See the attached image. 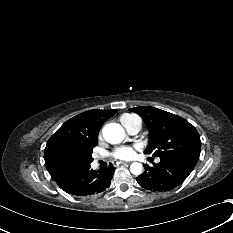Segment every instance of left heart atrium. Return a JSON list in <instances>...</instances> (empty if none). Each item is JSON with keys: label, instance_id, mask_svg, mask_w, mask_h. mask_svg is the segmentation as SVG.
<instances>
[{"label": "left heart atrium", "instance_id": "obj_1", "mask_svg": "<svg viewBox=\"0 0 233 233\" xmlns=\"http://www.w3.org/2000/svg\"><path fill=\"white\" fill-rule=\"evenodd\" d=\"M112 156L118 160H131L136 156V149L131 146H123L115 149Z\"/></svg>", "mask_w": 233, "mask_h": 233}]
</instances>
